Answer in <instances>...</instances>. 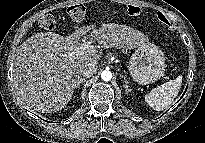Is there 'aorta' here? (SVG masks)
I'll use <instances>...</instances> for the list:
<instances>
[{
	"label": "aorta",
	"instance_id": "obj_1",
	"mask_svg": "<svg viewBox=\"0 0 205 143\" xmlns=\"http://www.w3.org/2000/svg\"><path fill=\"white\" fill-rule=\"evenodd\" d=\"M101 79L104 81H110L112 79V73L108 70H104L101 73Z\"/></svg>",
	"mask_w": 205,
	"mask_h": 143
}]
</instances>
